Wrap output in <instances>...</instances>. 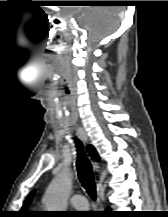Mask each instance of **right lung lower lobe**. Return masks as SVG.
Instances as JSON below:
<instances>
[{
    "instance_id": "obj_1",
    "label": "right lung lower lobe",
    "mask_w": 168,
    "mask_h": 217,
    "mask_svg": "<svg viewBox=\"0 0 168 217\" xmlns=\"http://www.w3.org/2000/svg\"><path fill=\"white\" fill-rule=\"evenodd\" d=\"M105 214H103V216L104 217H114L113 215V212L112 211H110V210H107V211H105L104 212Z\"/></svg>"
}]
</instances>
